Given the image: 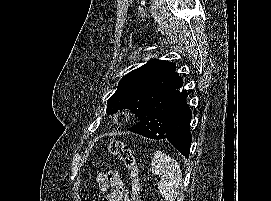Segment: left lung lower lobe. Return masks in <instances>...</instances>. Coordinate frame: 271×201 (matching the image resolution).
<instances>
[{
    "mask_svg": "<svg viewBox=\"0 0 271 201\" xmlns=\"http://www.w3.org/2000/svg\"><path fill=\"white\" fill-rule=\"evenodd\" d=\"M187 90L180 91L177 101L172 108L165 134L160 139L168 140L183 156L189 157L192 136L189 131L191 110L186 103ZM131 132L141 135L142 126L136 124Z\"/></svg>",
    "mask_w": 271,
    "mask_h": 201,
    "instance_id": "1",
    "label": "left lung lower lobe"
}]
</instances>
